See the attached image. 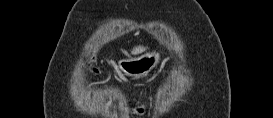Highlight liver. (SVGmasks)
<instances>
[{
	"label": "liver",
	"mask_w": 273,
	"mask_h": 118,
	"mask_svg": "<svg viewBox=\"0 0 273 118\" xmlns=\"http://www.w3.org/2000/svg\"><path fill=\"white\" fill-rule=\"evenodd\" d=\"M145 50H146L145 47H143V46H137V47L133 48V50H132L131 53L133 55H137V54H140V53L144 52Z\"/></svg>",
	"instance_id": "obj_1"
}]
</instances>
